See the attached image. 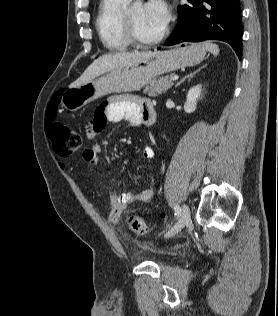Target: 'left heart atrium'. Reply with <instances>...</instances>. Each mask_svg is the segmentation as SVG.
I'll list each match as a JSON object with an SVG mask.
<instances>
[{"label": "left heart atrium", "instance_id": "obj_1", "mask_svg": "<svg viewBox=\"0 0 278 316\" xmlns=\"http://www.w3.org/2000/svg\"><path fill=\"white\" fill-rule=\"evenodd\" d=\"M144 7L151 21L163 28L167 26L171 18V11L165 0H149Z\"/></svg>", "mask_w": 278, "mask_h": 316}]
</instances>
